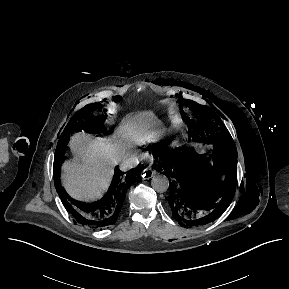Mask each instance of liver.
Segmentation results:
<instances>
[{
    "label": "liver",
    "mask_w": 289,
    "mask_h": 289,
    "mask_svg": "<svg viewBox=\"0 0 289 289\" xmlns=\"http://www.w3.org/2000/svg\"><path fill=\"white\" fill-rule=\"evenodd\" d=\"M154 124L155 118L151 112L128 117L117 129L116 137L128 144L142 143L160 133L158 129L149 130ZM71 147L82 161L64 164L62 185L74 199L95 200L102 195L111 179L114 157L121 146L89 134H78L72 138Z\"/></svg>",
    "instance_id": "obj_1"
}]
</instances>
